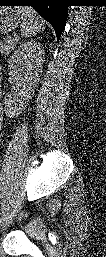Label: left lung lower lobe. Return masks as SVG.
Here are the masks:
<instances>
[{
    "instance_id": "left-lung-lower-lobe-1",
    "label": "left lung lower lobe",
    "mask_w": 106,
    "mask_h": 257,
    "mask_svg": "<svg viewBox=\"0 0 106 257\" xmlns=\"http://www.w3.org/2000/svg\"><path fill=\"white\" fill-rule=\"evenodd\" d=\"M68 0H0V4L32 6L55 30L57 40L64 30L68 15Z\"/></svg>"
}]
</instances>
